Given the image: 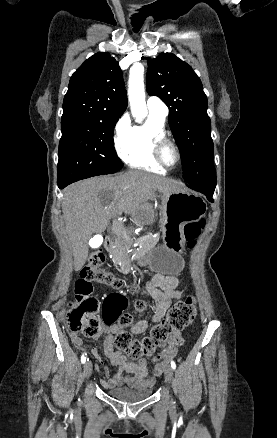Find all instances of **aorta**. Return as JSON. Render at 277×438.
<instances>
[{"instance_id":"obj_1","label":"aorta","mask_w":277,"mask_h":438,"mask_svg":"<svg viewBox=\"0 0 277 438\" xmlns=\"http://www.w3.org/2000/svg\"><path fill=\"white\" fill-rule=\"evenodd\" d=\"M128 98L133 117H135L138 122H141L147 115L144 67L141 63H135L130 69ZM139 217L143 220L146 218V214L142 212Z\"/></svg>"}]
</instances>
